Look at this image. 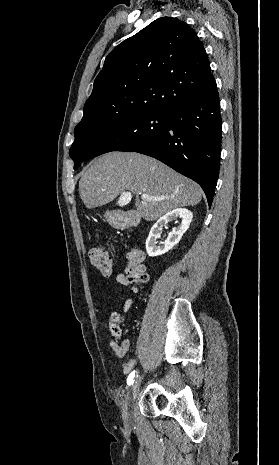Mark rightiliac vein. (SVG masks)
Instances as JSON below:
<instances>
[{
	"mask_svg": "<svg viewBox=\"0 0 279 465\" xmlns=\"http://www.w3.org/2000/svg\"><path fill=\"white\" fill-rule=\"evenodd\" d=\"M141 380H142L141 376L137 377L134 380L133 384L131 385V387H130V389H129L126 397H125L126 407H125L124 412H123V418H124V421L127 424H130L131 421H132L131 412L128 410V406H130L131 403L136 398L138 390H139V386L141 384Z\"/></svg>",
	"mask_w": 279,
	"mask_h": 465,
	"instance_id": "63e3f726",
	"label": "right iliac vein"
}]
</instances>
